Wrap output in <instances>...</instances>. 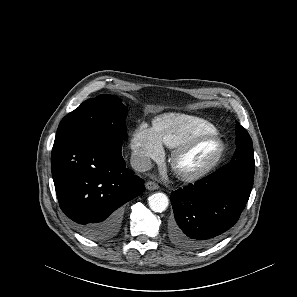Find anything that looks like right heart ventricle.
Listing matches in <instances>:
<instances>
[{"instance_id": "e07e8e85", "label": "right heart ventricle", "mask_w": 297, "mask_h": 297, "mask_svg": "<svg viewBox=\"0 0 297 297\" xmlns=\"http://www.w3.org/2000/svg\"><path fill=\"white\" fill-rule=\"evenodd\" d=\"M161 144L175 149L196 134L216 131L215 126L200 117L171 113L158 117L153 128Z\"/></svg>"}]
</instances>
